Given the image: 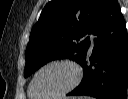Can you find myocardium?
Here are the masks:
<instances>
[{
  "label": "myocardium",
  "instance_id": "myocardium-1",
  "mask_svg": "<svg viewBox=\"0 0 128 99\" xmlns=\"http://www.w3.org/2000/svg\"><path fill=\"white\" fill-rule=\"evenodd\" d=\"M57 65H67L69 66L73 71H74V80L73 82L64 90L54 94V95H49V96H37L33 93V86L34 83L38 77V75L45 69L52 67V66H57ZM83 77L82 74V69L79 66V64L71 59H60V60H55V61H51L43 66H41L36 73L34 74L30 85H29V94L32 98H36V97H43V99H56V98H60L62 96H65L67 94H69L70 92H72L81 82Z\"/></svg>",
  "mask_w": 128,
  "mask_h": 99
}]
</instances>
